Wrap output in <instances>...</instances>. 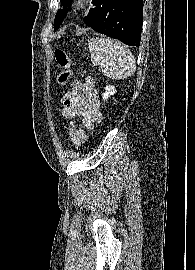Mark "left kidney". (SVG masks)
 Listing matches in <instances>:
<instances>
[{"label":"left kidney","instance_id":"obj_1","mask_svg":"<svg viewBox=\"0 0 195 270\" xmlns=\"http://www.w3.org/2000/svg\"><path fill=\"white\" fill-rule=\"evenodd\" d=\"M116 89L114 86L109 85L105 87V92L103 93V100L106 101L108 98L116 93Z\"/></svg>","mask_w":195,"mask_h":270}]
</instances>
